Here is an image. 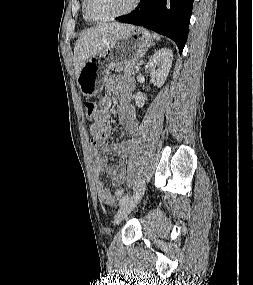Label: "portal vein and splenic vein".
Wrapping results in <instances>:
<instances>
[{
    "mask_svg": "<svg viewBox=\"0 0 253 285\" xmlns=\"http://www.w3.org/2000/svg\"><path fill=\"white\" fill-rule=\"evenodd\" d=\"M135 69H136V70H139V69H140V65H139V64L136 65Z\"/></svg>",
    "mask_w": 253,
    "mask_h": 285,
    "instance_id": "obj_1",
    "label": "portal vein and splenic vein"
}]
</instances>
